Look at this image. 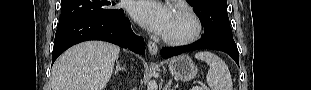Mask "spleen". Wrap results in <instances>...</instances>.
<instances>
[{
    "mask_svg": "<svg viewBox=\"0 0 311 90\" xmlns=\"http://www.w3.org/2000/svg\"><path fill=\"white\" fill-rule=\"evenodd\" d=\"M195 58L209 65L206 81L210 90H232L230 71L221 58L211 52H198Z\"/></svg>",
    "mask_w": 311,
    "mask_h": 90,
    "instance_id": "3e777b00",
    "label": "spleen"
}]
</instances>
